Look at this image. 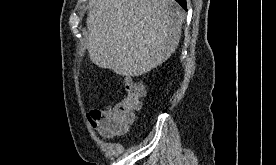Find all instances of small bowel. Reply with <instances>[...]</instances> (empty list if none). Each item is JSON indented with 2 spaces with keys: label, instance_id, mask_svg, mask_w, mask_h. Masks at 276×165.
<instances>
[{
  "label": "small bowel",
  "instance_id": "1",
  "mask_svg": "<svg viewBox=\"0 0 276 165\" xmlns=\"http://www.w3.org/2000/svg\"><path fill=\"white\" fill-rule=\"evenodd\" d=\"M102 111H103L102 109H94V110L90 111V114L93 115L94 113H101ZM97 129L103 135H108L106 133V127H105V125L102 122L98 124Z\"/></svg>",
  "mask_w": 276,
  "mask_h": 165
}]
</instances>
